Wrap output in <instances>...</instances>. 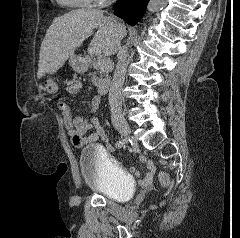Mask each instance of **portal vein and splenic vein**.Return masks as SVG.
Segmentation results:
<instances>
[{
	"mask_svg": "<svg viewBox=\"0 0 240 238\" xmlns=\"http://www.w3.org/2000/svg\"><path fill=\"white\" fill-rule=\"evenodd\" d=\"M90 53H92V54H97V53L95 52V50H91ZM100 65L102 66L103 69H106V68H109V67H110L111 62H110V61H107V60H101V61H100Z\"/></svg>",
	"mask_w": 240,
	"mask_h": 238,
	"instance_id": "18ae733b",
	"label": "portal vein and splenic vein"
}]
</instances>
